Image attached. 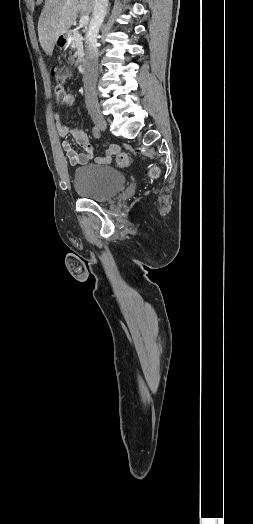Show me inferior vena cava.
<instances>
[{
	"label": "inferior vena cava",
	"mask_w": 253,
	"mask_h": 524,
	"mask_svg": "<svg viewBox=\"0 0 253 524\" xmlns=\"http://www.w3.org/2000/svg\"><path fill=\"white\" fill-rule=\"evenodd\" d=\"M108 0H94V8L86 36V65L83 76L85 88V102L87 106H97V73H98V48L97 34L104 21Z\"/></svg>",
	"instance_id": "obj_1"
}]
</instances>
